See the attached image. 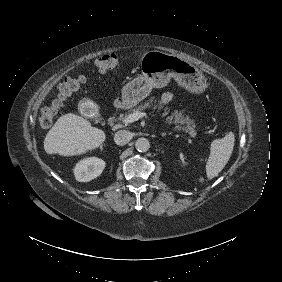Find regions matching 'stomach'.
I'll use <instances>...</instances> for the list:
<instances>
[{"mask_svg":"<svg viewBox=\"0 0 282 282\" xmlns=\"http://www.w3.org/2000/svg\"><path fill=\"white\" fill-rule=\"evenodd\" d=\"M142 75L133 79L122 88V100L127 107H134L145 99L153 88L167 86L171 78L193 93H202L207 87L202 72L182 58L158 50L143 54Z\"/></svg>","mask_w":282,"mask_h":282,"instance_id":"0dacf381","label":"stomach"}]
</instances>
